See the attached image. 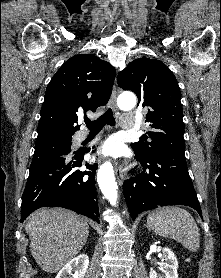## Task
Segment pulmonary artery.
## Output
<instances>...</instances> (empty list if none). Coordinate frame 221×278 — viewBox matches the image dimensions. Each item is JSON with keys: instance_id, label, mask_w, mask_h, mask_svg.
Segmentation results:
<instances>
[{"instance_id": "1", "label": "pulmonary artery", "mask_w": 221, "mask_h": 278, "mask_svg": "<svg viewBox=\"0 0 221 278\" xmlns=\"http://www.w3.org/2000/svg\"><path fill=\"white\" fill-rule=\"evenodd\" d=\"M121 127L123 129H133L135 125V118L132 115H124L121 117ZM87 138V134L83 131H81L77 135V140L78 141H83Z\"/></svg>"}]
</instances>
